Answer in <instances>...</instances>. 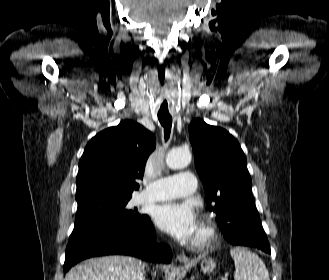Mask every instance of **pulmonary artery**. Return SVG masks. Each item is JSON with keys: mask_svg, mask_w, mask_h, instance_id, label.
Here are the masks:
<instances>
[{"mask_svg": "<svg viewBox=\"0 0 329 280\" xmlns=\"http://www.w3.org/2000/svg\"><path fill=\"white\" fill-rule=\"evenodd\" d=\"M196 190V178L185 171L157 179L148 185L140 198L145 201H161L192 195Z\"/></svg>", "mask_w": 329, "mask_h": 280, "instance_id": "obj_1", "label": "pulmonary artery"}]
</instances>
